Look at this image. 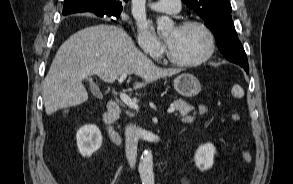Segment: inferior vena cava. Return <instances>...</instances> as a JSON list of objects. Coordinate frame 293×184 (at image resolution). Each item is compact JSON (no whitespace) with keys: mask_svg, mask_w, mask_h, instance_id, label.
Instances as JSON below:
<instances>
[{"mask_svg":"<svg viewBox=\"0 0 293 184\" xmlns=\"http://www.w3.org/2000/svg\"><path fill=\"white\" fill-rule=\"evenodd\" d=\"M138 146V134L135 126L127 125L125 128V153L131 168L135 167Z\"/></svg>","mask_w":293,"mask_h":184,"instance_id":"obj_1","label":"inferior vena cava"}]
</instances>
